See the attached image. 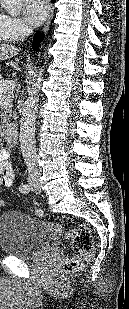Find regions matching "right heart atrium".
Instances as JSON below:
<instances>
[{"instance_id": "d8ad5b80", "label": "right heart atrium", "mask_w": 129, "mask_h": 309, "mask_svg": "<svg viewBox=\"0 0 129 309\" xmlns=\"http://www.w3.org/2000/svg\"><path fill=\"white\" fill-rule=\"evenodd\" d=\"M4 28L13 41L25 38L31 31L28 24L20 17L4 15Z\"/></svg>"}]
</instances>
